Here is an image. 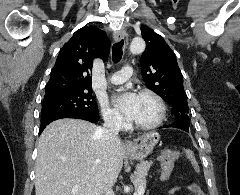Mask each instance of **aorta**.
<instances>
[{
    "label": "aorta",
    "instance_id": "aorta-1",
    "mask_svg": "<svg viewBox=\"0 0 240 195\" xmlns=\"http://www.w3.org/2000/svg\"><path fill=\"white\" fill-rule=\"evenodd\" d=\"M130 52L132 54H141L145 50V42L141 38H134L129 46Z\"/></svg>",
    "mask_w": 240,
    "mask_h": 195
}]
</instances>
